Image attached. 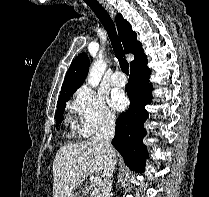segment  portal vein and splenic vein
Wrapping results in <instances>:
<instances>
[{"label": "portal vein and splenic vein", "mask_w": 209, "mask_h": 197, "mask_svg": "<svg viewBox=\"0 0 209 197\" xmlns=\"http://www.w3.org/2000/svg\"><path fill=\"white\" fill-rule=\"evenodd\" d=\"M101 182H102V180H101L100 177H95V178L93 179V183H94L95 185H100Z\"/></svg>", "instance_id": "portal-vein-and-splenic-vein-1"}]
</instances>
